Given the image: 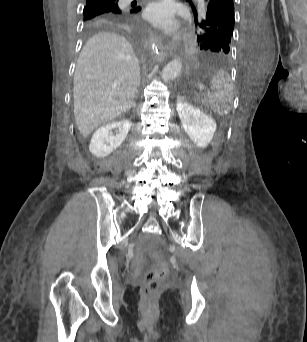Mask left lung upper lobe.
Returning <instances> with one entry per match:
<instances>
[{
  "mask_svg": "<svg viewBox=\"0 0 307 342\" xmlns=\"http://www.w3.org/2000/svg\"><path fill=\"white\" fill-rule=\"evenodd\" d=\"M187 1L194 11L197 48L229 54L234 29L233 0H205L207 9L202 10L198 17L191 0Z\"/></svg>",
  "mask_w": 307,
  "mask_h": 342,
  "instance_id": "1",
  "label": "left lung upper lobe"
}]
</instances>
